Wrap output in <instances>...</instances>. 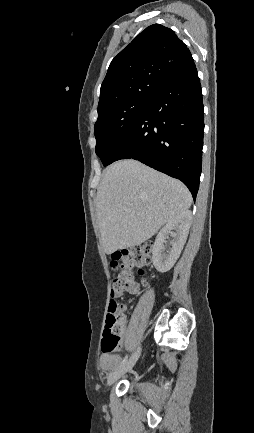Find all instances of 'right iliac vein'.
<instances>
[{
	"label": "right iliac vein",
	"mask_w": 254,
	"mask_h": 433,
	"mask_svg": "<svg viewBox=\"0 0 254 433\" xmlns=\"http://www.w3.org/2000/svg\"><path fill=\"white\" fill-rule=\"evenodd\" d=\"M141 348H138L132 356L129 358V360L120 368L113 371L108 379H107V385L111 386L113 385L118 379H120L125 373H127L129 370L132 369L136 361L138 360V357L140 355Z\"/></svg>",
	"instance_id": "1"
}]
</instances>
